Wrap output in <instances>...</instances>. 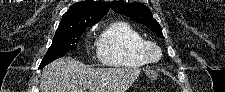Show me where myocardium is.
I'll use <instances>...</instances> for the list:
<instances>
[{"mask_svg": "<svg viewBox=\"0 0 225 92\" xmlns=\"http://www.w3.org/2000/svg\"><path fill=\"white\" fill-rule=\"evenodd\" d=\"M141 51L146 62L151 64L157 63L162 56L160 47L153 41L145 40L142 44Z\"/></svg>", "mask_w": 225, "mask_h": 92, "instance_id": "f54148a6", "label": "myocardium"}]
</instances>
